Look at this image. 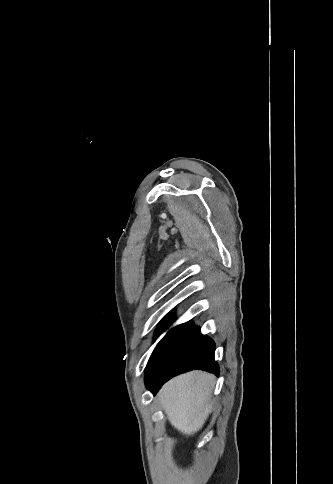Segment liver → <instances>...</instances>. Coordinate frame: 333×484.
I'll use <instances>...</instances> for the list:
<instances>
[{
  "instance_id": "6515ba94",
  "label": "liver",
  "mask_w": 333,
  "mask_h": 484,
  "mask_svg": "<svg viewBox=\"0 0 333 484\" xmlns=\"http://www.w3.org/2000/svg\"><path fill=\"white\" fill-rule=\"evenodd\" d=\"M215 376L192 371L168 381L157 397L172 426L191 436L199 431L211 412Z\"/></svg>"
}]
</instances>
